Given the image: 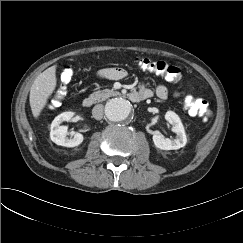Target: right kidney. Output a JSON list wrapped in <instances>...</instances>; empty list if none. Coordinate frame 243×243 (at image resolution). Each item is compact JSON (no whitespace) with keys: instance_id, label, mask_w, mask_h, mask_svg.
<instances>
[{"instance_id":"1","label":"right kidney","mask_w":243,"mask_h":243,"mask_svg":"<svg viewBox=\"0 0 243 243\" xmlns=\"http://www.w3.org/2000/svg\"><path fill=\"white\" fill-rule=\"evenodd\" d=\"M73 115V112H63L52 121L50 138L55 144L65 147H75L83 142L84 138L80 133H72L73 138H67L68 127L60 125L64 121H70Z\"/></svg>"}]
</instances>
